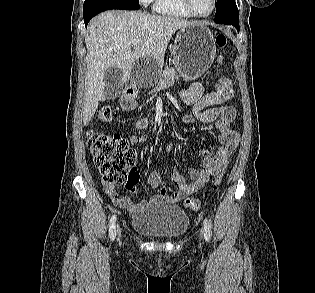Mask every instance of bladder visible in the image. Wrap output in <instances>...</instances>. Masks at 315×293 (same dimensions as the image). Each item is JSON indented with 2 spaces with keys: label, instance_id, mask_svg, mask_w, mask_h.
I'll use <instances>...</instances> for the list:
<instances>
[{
  "label": "bladder",
  "instance_id": "obj_1",
  "mask_svg": "<svg viewBox=\"0 0 315 293\" xmlns=\"http://www.w3.org/2000/svg\"><path fill=\"white\" fill-rule=\"evenodd\" d=\"M131 226L141 235L173 240L187 231L189 216L178 205L152 202L134 215Z\"/></svg>",
  "mask_w": 315,
  "mask_h": 293
}]
</instances>
